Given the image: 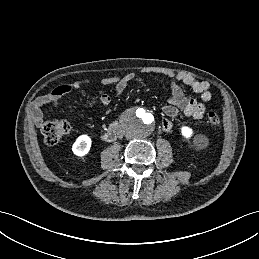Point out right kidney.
<instances>
[{
	"label": "right kidney",
	"instance_id": "obj_1",
	"mask_svg": "<svg viewBox=\"0 0 259 259\" xmlns=\"http://www.w3.org/2000/svg\"><path fill=\"white\" fill-rule=\"evenodd\" d=\"M91 138L84 134L79 136L72 146V151L77 156L86 155L91 147Z\"/></svg>",
	"mask_w": 259,
	"mask_h": 259
}]
</instances>
